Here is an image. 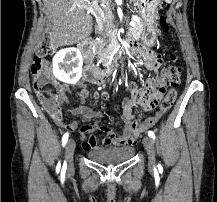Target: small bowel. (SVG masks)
Wrapping results in <instances>:
<instances>
[{
    "label": "small bowel",
    "instance_id": "obj_1",
    "mask_svg": "<svg viewBox=\"0 0 217 202\" xmlns=\"http://www.w3.org/2000/svg\"><path fill=\"white\" fill-rule=\"evenodd\" d=\"M138 54L142 57L145 66L148 69H155L161 63L160 56L152 50L138 47ZM152 86V83L148 84V87ZM68 86L65 84L59 85L58 95H64V100H58L60 103L67 102L66 91ZM77 93L79 95L81 105L75 107L72 110L74 115L81 116L83 121L89 122L92 120H97L103 117L101 111L94 110L93 108L84 104L89 96L95 99H107L109 93L107 91H95L92 94L86 89L84 84H78L76 86ZM138 103L137 99H124L121 103V120L124 123V128L122 133L117 134L109 127H98V132H105L104 141L102 142V147H112L114 146H133L138 139V136L144 131H135V126H147L145 122L139 123L134 115L133 108ZM139 104V103H138ZM144 108V107H143ZM54 121L60 127L76 128L77 123L72 122L66 125L61 116H54ZM148 127V126H147ZM80 136H84V141H94L95 137L92 136V131H80ZM81 147H98V142H81Z\"/></svg>",
    "mask_w": 217,
    "mask_h": 202
}]
</instances>
